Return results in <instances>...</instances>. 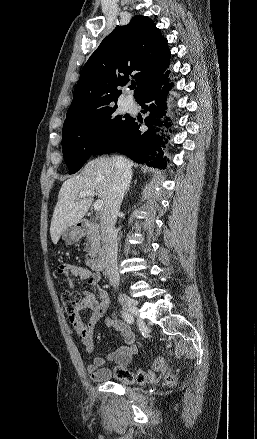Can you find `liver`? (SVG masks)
Masks as SVG:
<instances>
[{
	"mask_svg": "<svg viewBox=\"0 0 257 439\" xmlns=\"http://www.w3.org/2000/svg\"><path fill=\"white\" fill-rule=\"evenodd\" d=\"M130 166L132 165L131 162ZM114 158L99 157L89 161L77 176L66 180L59 191L54 208L50 235L57 244L63 232L82 220L93 202L92 196L79 198V193L96 190L103 200V207L108 198L115 176Z\"/></svg>",
	"mask_w": 257,
	"mask_h": 439,
	"instance_id": "6515ba94",
	"label": "liver"
}]
</instances>
